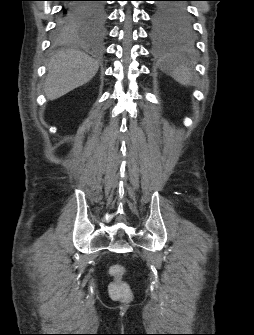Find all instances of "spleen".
<instances>
[{"mask_svg": "<svg viewBox=\"0 0 254 335\" xmlns=\"http://www.w3.org/2000/svg\"><path fill=\"white\" fill-rule=\"evenodd\" d=\"M161 69L183 86L192 84L193 77L190 69L186 65L179 63L175 53H169L164 57Z\"/></svg>", "mask_w": 254, "mask_h": 335, "instance_id": "1", "label": "spleen"}]
</instances>
